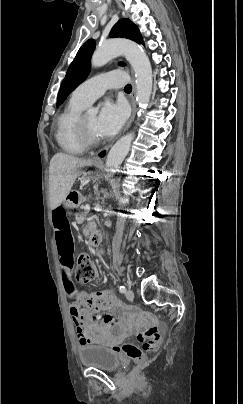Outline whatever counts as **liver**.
<instances>
[{
    "label": "liver",
    "instance_id": "6515ba94",
    "mask_svg": "<svg viewBox=\"0 0 243 404\" xmlns=\"http://www.w3.org/2000/svg\"><path fill=\"white\" fill-rule=\"evenodd\" d=\"M93 160L76 158L69 154H55L49 166V202L51 210L64 202L76 180L81 176V168L91 166Z\"/></svg>",
    "mask_w": 243,
    "mask_h": 404
}]
</instances>
